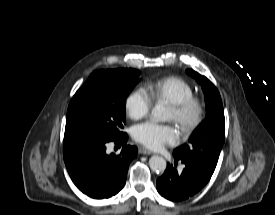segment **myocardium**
Masks as SVG:
<instances>
[{
	"mask_svg": "<svg viewBox=\"0 0 275 215\" xmlns=\"http://www.w3.org/2000/svg\"><path fill=\"white\" fill-rule=\"evenodd\" d=\"M175 114L174 122L184 134L192 133L205 117V105L197 97H190L181 102L170 104Z\"/></svg>",
	"mask_w": 275,
	"mask_h": 215,
	"instance_id": "f54148a6",
	"label": "myocardium"
}]
</instances>
